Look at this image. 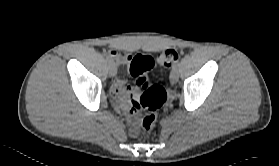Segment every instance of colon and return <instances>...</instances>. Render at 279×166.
Returning <instances> with one entry per match:
<instances>
[{
  "label": "colon",
  "mask_w": 279,
  "mask_h": 166,
  "mask_svg": "<svg viewBox=\"0 0 279 166\" xmlns=\"http://www.w3.org/2000/svg\"><path fill=\"white\" fill-rule=\"evenodd\" d=\"M179 59V54L174 49H166L162 51L158 57L159 65L168 68ZM155 60L149 55H136L132 58L129 70L136 78L137 85L142 92L136 99L141 104L144 116L141 120V134L148 136L153 130L156 120L157 111L163 106L167 99L165 89L159 85H153L148 78V72L153 68Z\"/></svg>",
  "instance_id": "1"
}]
</instances>
